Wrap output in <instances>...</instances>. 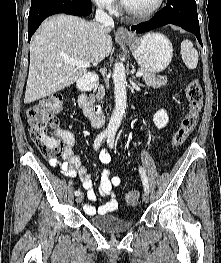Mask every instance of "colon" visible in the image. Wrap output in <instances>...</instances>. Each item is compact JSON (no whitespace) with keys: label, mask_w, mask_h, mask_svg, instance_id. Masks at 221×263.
I'll return each instance as SVG.
<instances>
[{"label":"colon","mask_w":221,"mask_h":263,"mask_svg":"<svg viewBox=\"0 0 221 263\" xmlns=\"http://www.w3.org/2000/svg\"><path fill=\"white\" fill-rule=\"evenodd\" d=\"M188 111L178 130L172 138V146L180 147L195 129L203 105V93L197 80L192 79L186 87ZM63 96L59 93L50 94L27 112L30 136L34 144L48 159H56L63 153L62 131L58 129L56 114L61 110ZM140 201V193L133 190L127 193L125 203L136 206Z\"/></svg>","instance_id":"5ec220e1"}]
</instances>
